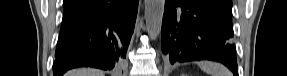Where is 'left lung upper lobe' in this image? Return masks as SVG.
Wrapping results in <instances>:
<instances>
[{
	"label": "left lung upper lobe",
	"instance_id": "1",
	"mask_svg": "<svg viewBox=\"0 0 287 76\" xmlns=\"http://www.w3.org/2000/svg\"><path fill=\"white\" fill-rule=\"evenodd\" d=\"M199 1L209 3L210 6H212L219 12L231 18L232 0H199Z\"/></svg>",
	"mask_w": 287,
	"mask_h": 76
}]
</instances>
